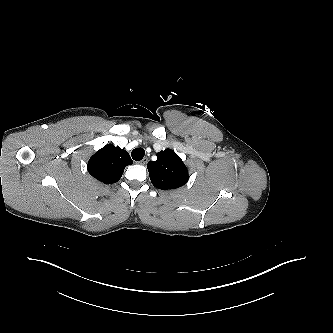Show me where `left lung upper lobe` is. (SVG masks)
I'll return each instance as SVG.
<instances>
[{
	"label": "left lung upper lobe",
	"instance_id": "obj_1",
	"mask_svg": "<svg viewBox=\"0 0 333 333\" xmlns=\"http://www.w3.org/2000/svg\"><path fill=\"white\" fill-rule=\"evenodd\" d=\"M152 184L161 190L176 189L188 181V169L171 149L157 153V160L147 164Z\"/></svg>",
	"mask_w": 333,
	"mask_h": 333
}]
</instances>
